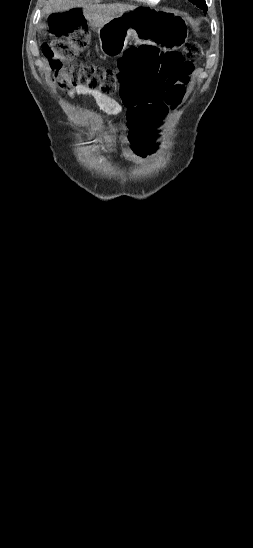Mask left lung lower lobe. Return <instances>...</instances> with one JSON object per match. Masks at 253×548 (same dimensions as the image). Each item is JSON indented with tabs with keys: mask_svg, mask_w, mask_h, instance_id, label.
Here are the masks:
<instances>
[{
	"mask_svg": "<svg viewBox=\"0 0 253 548\" xmlns=\"http://www.w3.org/2000/svg\"><path fill=\"white\" fill-rule=\"evenodd\" d=\"M197 7H200L201 9H203L204 11L207 10V6L206 5H196Z\"/></svg>",
	"mask_w": 253,
	"mask_h": 548,
	"instance_id": "left-lung-lower-lobe-1",
	"label": "left lung lower lobe"
}]
</instances>
